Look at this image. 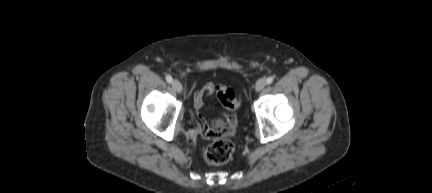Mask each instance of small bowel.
I'll list each match as a JSON object with an SVG mask.
<instances>
[{
    "mask_svg": "<svg viewBox=\"0 0 432 193\" xmlns=\"http://www.w3.org/2000/svg\"><path fill=\"white\" fill-rule=\"evenodd\" d=\"M215 91L213 83L209 82L204 87L194 93V108L202 109L204 106V97L212 95ZM202 120V135L207 139H217L229 137L237 130L238 121L236 116L229 111H226L221 117L209 121Z\"/></svg>",
    "mask_w": 432,
    "mask_h": 193,
    "instance_id": "small-bowel-1",
    "label": "small bowel"
}]
</instances>
